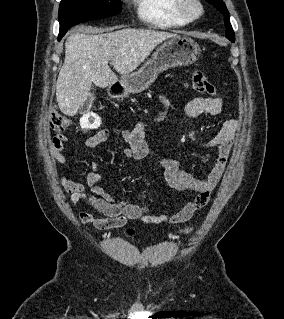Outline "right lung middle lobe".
I'll list each match as a JSON object with an SVG mask.
<instances>
[{"instance_id":"1","label":"right lung middle lobe","mask_w":284,"mask_h":319,"mask_svg":"<svg viewBox=\"0 0 284 319\" xmlns=\"http://www.w3.org/2000/svg\"><path fill=\"white\" fill-rule=\"evenodd\" d=\"M121 10L120 0H62L59 7V38L80 22L110 17Z\"/></svg>"}]
</instances>
